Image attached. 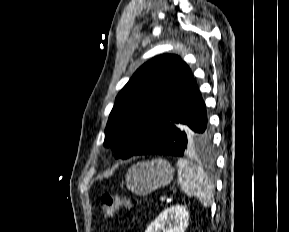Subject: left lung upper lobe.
I'll use <instances>...</instances> for the list:
<instances>
[{
	"mask_svg": "<svg viewBox=\"0 0 289 232\" xmlns=\"http://www.w3.org/2000/svg\"><path fill=\"white\" fill-rule=\"evenodd\" d=\"M179 56L160 55L143 64L116 97L105 129V146L127 159L145 146L170 120L195 87Z\"/></svg>",
	"mask_w": 289,
	"mask_h": 232,
	"instance_id": "1",
	"label": "left lung upper lobe"
}]
</instances>
